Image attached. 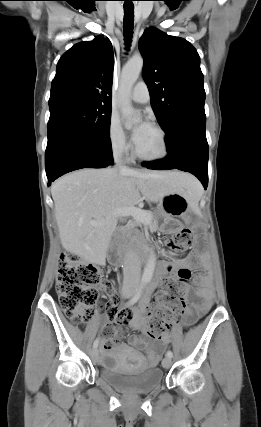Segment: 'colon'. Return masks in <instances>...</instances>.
I'll list each match as a JSON object with an SVG mask.
<instances>
[{
	"label": "colon",
	"instance_id": "colon-1",
	"mask_svg": "<svg viewBox=\"0 0 261 427\" xmlns=\"http://www.w3.org/2000/svg\"><path fill=\"white\" fill-rule=\"evenodd\" d=\"M166 242L173 251H184L191 243V232L181 229ZM190 271L180 268L164 281L157 303L151 308L146 320V331L159 338L175 320L184 314ZM107 286L103 268L83 261L72 253L62 254L56 278V292L65 315L74 324L90 320L97 308L105 307L99 302V291Z\"/></svg>",
	"mask_w": 261,
	"mask_h": 427
}]
</instances>
